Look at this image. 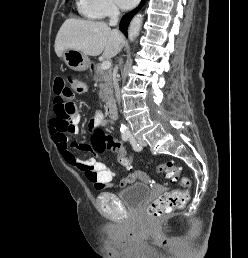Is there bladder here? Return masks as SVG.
<instances>
[{
    "mask_svg": "<svg viewBox=\"0 0 248 258\" xmlns=\"http://www.w3.org/2000/svg\"><path fill=\"white\" fill-rule=\"evenodd\" d=\"M149 195V187L144 183H134L115 196L130 209H137Z\"/></svg>",
    "mask_w": 248,
    "mask_h": 258,
    "instance_id": "obj_1",
    "label": "bladder"
}]
</instances>
